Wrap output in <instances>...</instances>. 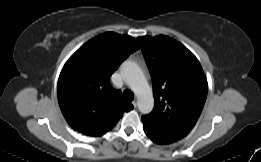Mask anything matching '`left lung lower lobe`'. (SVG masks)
<instances>
[{"label":"left lung lower lobe","instance_id":"1","mask_svg":"<svg viewBox=\"0 0 261 162\" xmlns=\"http://www.w3.org/2000/svg\"><path fill=\"white\" fill-rule=\"evenodd\" d=\"M143 129L146 135L156 144H170L178 141V139L170 138L158 133L151 126L143 123Z\"/></svg>","mask_w":261,"mask_h":162}]
</instances>
